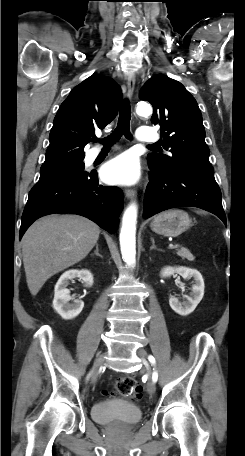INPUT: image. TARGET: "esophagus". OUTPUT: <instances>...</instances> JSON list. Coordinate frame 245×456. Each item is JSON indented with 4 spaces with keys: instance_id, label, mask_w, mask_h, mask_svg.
Segmentation results:
<instances>
[{
    "instance_id": "1",
    "label": "esophagus",
    "mask_w": 245,
    "mask_h": 456,
    "mask_svg": "<svg viewBox=\"0 0 245 456\" xmlns=\"http://www.w3.org/2000/svg\"><path fill=\"white\" fill-rule=\"evenodd\" d=\"M135 90V78L130 77L127 81V96L131 99ZM125 195L128 199H133L136 196L135 189H125Z\"/></svg>"
}]
</instances>
